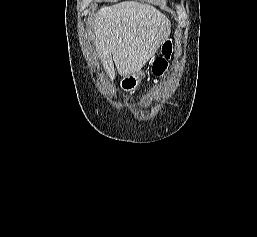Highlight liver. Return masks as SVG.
<instances>
[{
    "instance_id": "liver-1",
    "label": "liver",
    "mask_w": 257,
    "mask_h": 237,
    "mask_svg": "<svg viewBox=\"0 0 257 237\" xmlns=\"http://www.w3.org/2000/svg\"><path fill=\"white\" fill-rule=\"evenodd\" d=\"M169 19L154 7L124 1L102 7L91 23L96 51L111 80L139 72L170 33ZM114 62V63H113Z\"/></svg>"
}]
</instances>
